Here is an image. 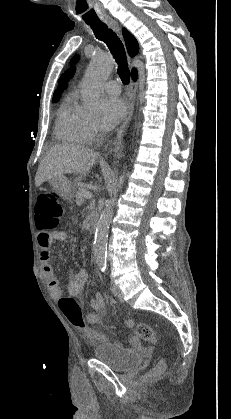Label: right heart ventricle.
Segmentation results:
<instances>
[{
  "instance_id": "obj_1",
  "label": "right heart ventricle",
  "mask_w": 231,
  "mask_h": 419,
  "mask_svg": "<svg viewBox=\"0 0 231 419\" xmlns=\"http://www.w3.org/2000/svg\"><path fill=\"white\" fill-rule=\"evenodd\" d=\"M88 115L80 108L75 96L71 95L61 104L57 112L55 135L59 140L72 144L88 142Z\"/></svg>"
}]
</instances>
